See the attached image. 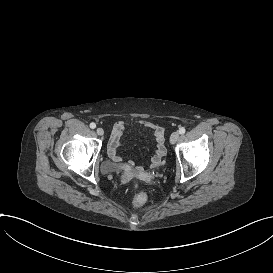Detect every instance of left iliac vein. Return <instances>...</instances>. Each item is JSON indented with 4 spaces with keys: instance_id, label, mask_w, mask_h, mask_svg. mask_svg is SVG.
<instances>
[{
    "instance_id": "left-iliac-vein-1",
    "label": "left iliac vein",
    "mask_w": 273,
    "mask_h": 273,
    "mask_svg": "<svg viewBox=\"0 0 273 273\" xmlns=\"http://www.w3.org/2000/svg\"><path fill=\"white\" fill-rule=\"evenodd\" d=\"M178 139H179V133L178 132H173L171 137H170V143L175 144Z\"/></svg>"
}]
</instances>
